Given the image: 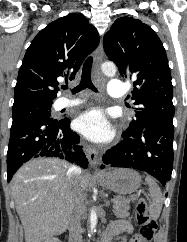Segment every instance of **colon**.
<instances>
[{
    "label": "colon",
    "instance_id": "colon-1",
    "mask_svg": "<svg viewBox=\"0 0 187 242\" xmlns=\"http://www.w3.org/2000/svg\"><path fill=\"white\" fill-rule=\"evenodd\" d=\"M135 218L139 226V234L137 235L136 242H151L157 230V222L149 215L147 202L143 198L139 199L136 204Z\"/></svg>",
    "mask_w": 187,
    "mask_h": 242
}]
</instances>
